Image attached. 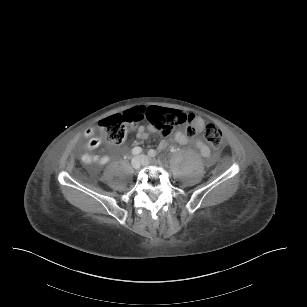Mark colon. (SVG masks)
<instances>
[{
  "label": "colon",
  "mask_w": 307,
  "mask_h": 307,
  "mask_svg": "<svg viewBox=\"0 0 307 307\" xmlns=\"http://www.w3.org/2000/svg\"><path fill=\"white\" fill-rule=\"evenodd\" d=\"M125 116H139L140 120H146L163 136H169L173 129L179 126H186L188 134L202 130L204 138L213 149L221 150L223 147L221 131L214 124H203L196 116L175 109L131 111L129 108L127 113L102 119L98 123V130L108 143L120 145L126 139L128 123L124 121Z\"/></svg>",
  "instance_id": "colon-1"
}]
</instances>
